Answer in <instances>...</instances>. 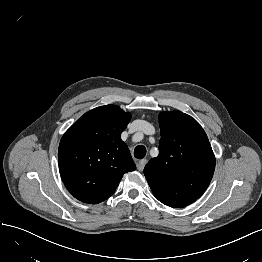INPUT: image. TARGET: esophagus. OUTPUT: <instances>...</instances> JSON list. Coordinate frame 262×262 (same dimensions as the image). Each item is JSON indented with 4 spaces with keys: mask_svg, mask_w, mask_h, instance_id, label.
Listing matches in <instances>:
<instances>
[{
    "mask_svg": "<svg viewBox=\"0 0 262 262\" xmlns=\"http://www.w3.org/2000/svg\"><path fill=\"white\" fill-rule=\"evenodd\" d=\"M145 165H146V160H140V161L137 163V169H138L139 171H143Z\"/></svg>",
    "mask_w": 262,
    "mask_h": 262,
    "instance_id": "esophagus-1",
    "label": "esophagus"
}]
</instances>
